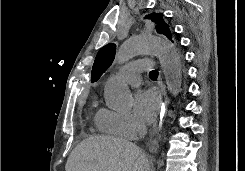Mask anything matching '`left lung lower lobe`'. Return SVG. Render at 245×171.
<instances>
[{
	"label": "left lung lower lobe",
	"mask_w": 245,
	"mask_h": 171,
	"mask_svg": "<svg viewBox=\"0 0 245 171\" xmlns=\"http://www.w3.org/2000/svg\"><path fill=\"white\" fill-rule=\"evenodd\" d=\"M177 66L178 67H189L190 63L189 62H178Z\"/></svg>",
	"instance_id": "1"
}]
</instances>
